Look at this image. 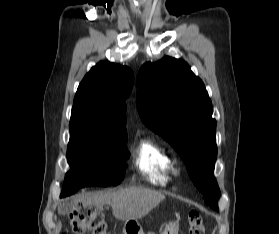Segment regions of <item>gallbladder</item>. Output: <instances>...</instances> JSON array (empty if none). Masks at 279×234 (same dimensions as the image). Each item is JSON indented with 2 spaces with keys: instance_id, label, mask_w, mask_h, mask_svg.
<instances>
[{
  "instance_id": "obj_1",
  "label": "gallbladder",
  "mask_w": 279,
  "mask_h": 234,
  "mask_svg": "<svg viewBox=\"0 0 279 234\" xmlns=\"http://www.w3.org/2000/svg\"><path fill=\"white\" fill-rule=\"evenodd\" d=\"M73 207L70 205H63L60 207V213L63 215H67L72 211Z\"/></svg>"
}]
</instances>
